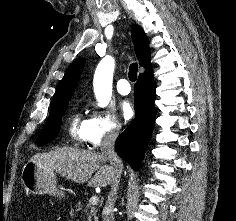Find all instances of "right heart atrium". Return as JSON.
Returning <instances> with one entry per match:
<instances>
[{
    "label": "right heart atrium",
    "mask_w": 236,
    "mask_h": 221,
    "mask_svg": "<svg viewBox=\"0 0 236 221\" xmlns=\"http://www.w3.org/2000/svg\"><path fill=\"white\" fill-rule=\"evenodd\" d=\"M86 122L84 141L91 148L117 138L121 132V124L112 112L94 110Z\"/></svg>",
    "instance_id": "d8ad5b80"
}]
</instances>
